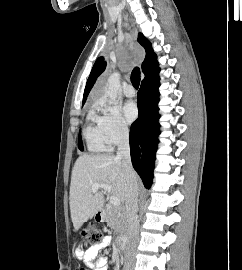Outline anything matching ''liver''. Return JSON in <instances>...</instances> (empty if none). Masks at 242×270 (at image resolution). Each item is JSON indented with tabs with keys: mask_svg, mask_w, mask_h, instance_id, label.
<instances>
[{
	"mask_svg": "<svg viewBox=\"0 0 242 270\" xmlns=\"http://www.w3.org/2000/svg\"><path fill=\"white\" fill-rule=\"evenodd\" d=\"M136 182L138 177L135 174ZM94 183H105L111 187V194L125 202L126 182L120 159L112 154L82 155L73 167L70 185V213L73 226L78 230L104 205L105 191H91Z\"/></svg>",
	"mask_w": 242,
	"mask_h": 270,
	"instance_id": "1",
	"label": "liver"
}]
</instances>
